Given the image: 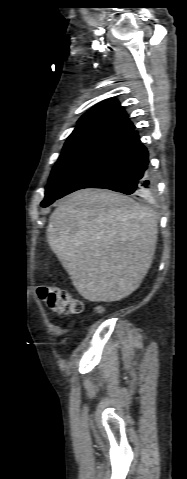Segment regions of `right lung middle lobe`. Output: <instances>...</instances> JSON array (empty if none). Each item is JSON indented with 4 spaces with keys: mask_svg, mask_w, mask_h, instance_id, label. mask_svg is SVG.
I'll list each match as a JSON object with an SVG mask.
<instances>
[{
    "mask_svg": "<svg viewBox=\"0 0 187 479\" xmlns=\"http://www.w3.org/2000/svg\"><path fill=\"white\" fill-rule=\"evenodd\" d=\"M126 135L125 132L102 126L75 129L51 172L41 206L52 204L78 174Z\"/></svg>",
    "mask_w": 187,
    "mask_h": 479,
    "instance_id": "obj_1",
    "label": "right lung middle lobe"
}]
</instances>
